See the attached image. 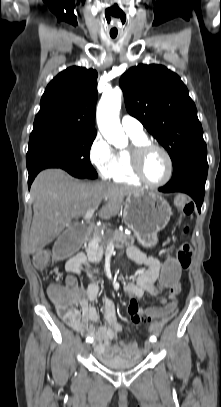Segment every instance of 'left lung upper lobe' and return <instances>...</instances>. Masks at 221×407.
I'll return each mask as SVG.
<instances>
[{
	"label": "left lung upper lobe",
	"instance_id": "obj_1",
	"mask_svg": "<svg viewBox=\"0 0 221 407\" xmlns=\"http://www.w3.org/2000/svg\"><path fill=\"white\" fill-rule=\"evenodd\" d=\"M126 109L168 151L173 172L207 155L194 102L180 77L162 65L140 64L120 78Z\"/></svg>",
	"mask_w": 221,
	"mask_h": 407
}]
</instances>
